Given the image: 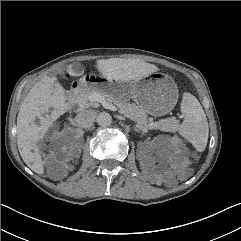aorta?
I'll return each instance as SVG.
<instances>
[{
    "instance_id": "762f6f07",
    "label": "aorta",
    "mask_w": 241,
    "mask_h": 241,
    "mask_svg": "<svg viewBox=\"0 0 241 241\" xmlns=\"http://www.w3.org/2000/svg\"><path fill=\"white\" fill-rule=\"evenodd\" d=\"M96 120H97L98 125H100L102 127H106V126H109L111 124L112 116L107 112H101L97 116Z\"/></svg>"
}]
</instances>
